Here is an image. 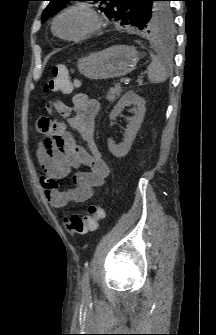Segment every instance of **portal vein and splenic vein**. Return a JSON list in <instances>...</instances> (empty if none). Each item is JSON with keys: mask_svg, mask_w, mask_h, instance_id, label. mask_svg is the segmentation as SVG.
I'll return each instance as SVG.
<instances>
[{"mask_svg": "<svg viewBox=\"0 0 216 335\" xmlns=\"http://www.w3.org/2000/svg\"><path fill=\"white\" fill-rule=\"evenodd\" d=\"M120 82H121L122 84H126V83L129 82V79H127V78H122V79L120 80Z\"/></svg>", "mask_w": 216, "mask_h": 335, "instance_id": "1", "label": "portal vein and splenic vein"}]
</instances>
